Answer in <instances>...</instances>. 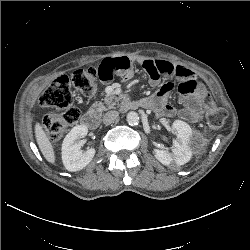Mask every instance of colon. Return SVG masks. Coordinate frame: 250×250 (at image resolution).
<instances>
[{"instance_id":"5ec220e1","label":"colon","mask_w":250,"mask_h":250,"mask_svg":"<svg viewBox=\"0 0 250 250\" xmlns=\"http://www.w3.org/2000/svg\"><path fill=\"white\" fill-rule=\"evenodd\" d=\"M98 78L96 68L78 69L71 77H57L43 91L39 99L40 105L57 111L48 113L43 118V126L51 139H59L80 117L79 109L73 106L74 90L91 96L97 90ZM203 104L210 128H221L225 122L226 112L216 106L207 93L203 95Z\"/></svg>"}]
</instances>
